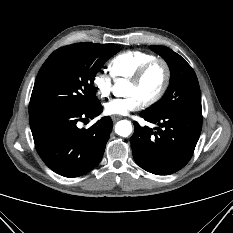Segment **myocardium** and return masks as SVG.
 Listing matches in <instances>:
<instances>
[{"instance_id":"myocardium-1","label":"myocardium","mask_w":233,"mask_h":233,"mask_svg":"<svg viewBox=\"0 0 233 233\" xmlns=\"http://www.w3.org/2000/svg\"><path fill=\"white\" fill-rule=\"evenodd\" d=\"M156 64H161L164 69V80L158 92L150 99L142 103L143 107H151L158 103L165 95L171 81V68L168 62L163 58H154L142 65L135 74L129 78V82L139 85L147 72Z\"/></svg>"}]
</instances>
